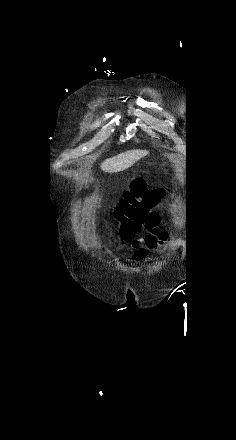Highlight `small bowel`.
Instances as JSON below:
<instances>
[{
    "mask_svg": "<svg viewBox=\"0 0 236 440\" xmlns=\"http://www.w3.org/2000/svg\"><path fill=\"white\" fill-rule=\"evenodd\" d=\"M160 215L152 212L144 220L147 234L131 241L130 246L134 250V258L141 260L147 256L150 250L162 245L167 239V233L160 228Z\"/></svg>",
    "mask_w": 236,
    "mask_h": 440,
    "instance_id": "c3829d8e",
    "label": "small bowel"
}]
</instances>
